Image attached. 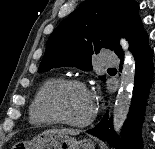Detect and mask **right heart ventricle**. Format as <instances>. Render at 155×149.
<instances>
[{"instance_id":"1","label":"right heart ventricle","mask_w":155,"mask_h":149,"mask_svg":"<svg viewBox=\"0 0 155 149\" xmlns=\"http://www.w3.org/2000/svg\"><path fill=\"white\" fill-rule=\"evenodd\" d=\"M57 80L58 78L55 77L48 78L36 90L30 102L28 111L29 122L32 125L47 127L56 124L55 119L45 110L43 100L48 87Z\"/></svg>"}]
</instances>
